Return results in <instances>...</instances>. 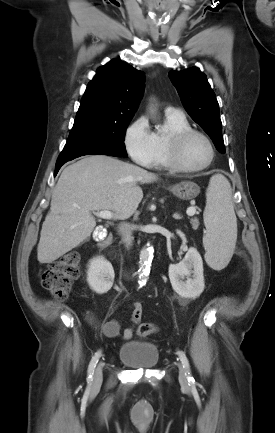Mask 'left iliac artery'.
Listing matches in <instances>:
<instances>
[{"mask_svg":"<svg viewBox=\"0 0 275 433\" xmlns=\"http://www.w3.org/2000/svg\"><path fill=\"white\" fill-rule=\"evenodd\" d=\"M177 354L183 364V367L186 369L187 372V376H188V381L189 382H194V378L191 375V371H190V365H189V361L186 357V355L182 352V351H177Z\"/></svg>","mask_w":275,"mask_h":433,"instance_id":"left-iliac-artery-1","label":"left iliac artery"}]
</instances>
